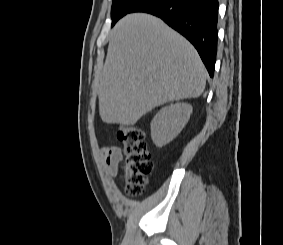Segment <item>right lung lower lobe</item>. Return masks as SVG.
Returning a JSON list of instances; mask_svg holds the SVG:
<instances>
[{
    "label": "right lung lower lobe",
    "mask_w": 283,
    "mask_h": 245,
    "mask_svg": "<svg viewBox=\"0 0 283 245\" xmlns=\"http://www.w3.org/2000/svg\"><path fill=\"white\" fill-rule=\"evenodd\" d=\"M218 8V0H144L131 12L156 15L185 36L197 49L212 77L217 49Z\"/></svg>",
    "instance_id": "obj_1"
}]
</instances>
